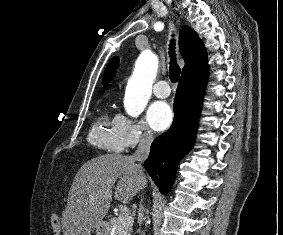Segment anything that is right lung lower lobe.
Returning <instances> with one entry per match:
<instances>
[{
  "label": "right lung lower lobe",
  "mask_w": 283,
  "mask_h": 235,
  "mask_svg": "<svg viewBox=\"0 0 283 235\" xmlns=\"http://www.w3.org/2000/svg\"><path fill=\"white\" fill-rule=\"evenodd\" d=\"M207 76L208 72L188 79L180 78L174 99L173 124L168 132L153 141L144 163L162 193L170 191L178 163L194 145Z\"/></svg>",
  "instance_id": "right-lung-lower-lobe-1"
}]
</instances>
